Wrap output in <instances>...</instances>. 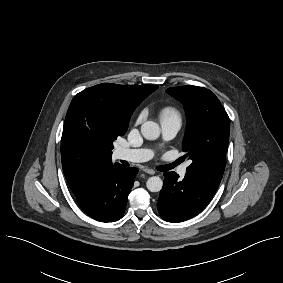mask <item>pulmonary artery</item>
Instances as JSON below:
<instances>
[{
  "label": "pulmonary artery",
  "mask_w": 283,
  "mask_h": 283,
  "mask_svg": "<svg viewBox=\"0 0 283 283\" xmlns=\"http://www.w3.org/2000/svg\"><path fill=\"white\" fill-rule=\"evenodd\" d=\"M161 129L163 139L165 141H170L173 139L180 129V122L167 120L161 122ZM154 153L150 149L140 148L131 149L125 147H118L115 150V158L119 160H126L130 162H143L151 159ZM186 172V165H182L177 169V173L183 176Z\"/></svg>",
  "instance_id": "obj_1"
}]
</instances>
